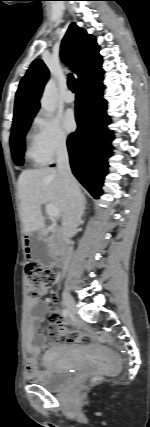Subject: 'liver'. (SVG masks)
<instances>
[{
    "label": "liver",
    "mask_w": 150,
    "mask_h": 427,
    "mask_svg": "<svg viewBox=\"0 0 150 427\" xmlns=\"http://www.w3.org/2000/svg\"><path fill=\"white\" fill-rule=\"evenodd\" d=\"M18 193L24 232L30 234L44 228L41 206L50 204L58 208L63 217L66 191L61 174L54 168L24 170L18 179Z\"/></svg>",
    "instance_id": "1"
}]
</instances>
